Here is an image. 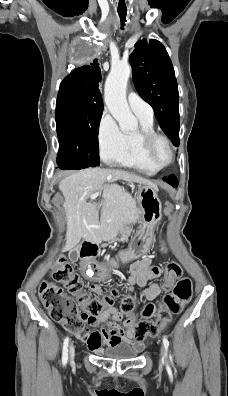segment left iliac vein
<instances>
[{
  "mask_svg": "<svg viewBox=\"0 0 228 396\" xmlns=\"http://www.w3.org/2000/svg\"><path fill=\"white\" fill-rule=\"evenodd\" d=\"M166 359H167V357H166L165 349H164L163 346H161V349H160V360H161V362H166Z\"/></svg>",
  "mask_w": 228,
  "mask_h": 396,
  "instance_id": "4c4485c4",
  "label": "left iliac vein"
}]
</instances>
